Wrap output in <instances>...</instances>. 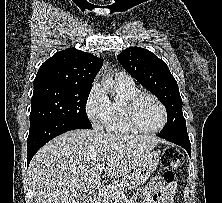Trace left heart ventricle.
Segmentation results:
<instances>
[{
    "label": "left heart ventricle",
    "mask_w": 222,
    "mask_h": 203,
    "mask_svg": "<svg viewBox=\"0 0 222 203\" xmlns=\"http://www.w3.org/2000/svg\"><path fill=\"white\" fill-rule=\"evenodd\" d=\"M135 111L138 122L144 128H157L162 123V110L151 98L146 97L141 99L138 102Z\"/></svg>",
    "instance_id": "left-heart-ventricle-1"
}]
</instances>
